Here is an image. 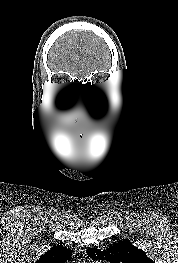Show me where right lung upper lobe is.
<instances>
[{"label":"right lung upper lobe","mask_w":178,"mask_h":263,"mask_svg":"<svg viewBox=\"0 0 178 263\" xmlns=\"http://www.w3.org/2000/svg\"><path fill=\"white\" fill-rule=\"evenodd\" d=\"M71 249L61 245H54L53 248L41 255L35 263H65L70 260Z\"/></svg>","instance_id":"obj_1"}]
</instances>
